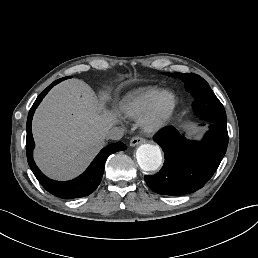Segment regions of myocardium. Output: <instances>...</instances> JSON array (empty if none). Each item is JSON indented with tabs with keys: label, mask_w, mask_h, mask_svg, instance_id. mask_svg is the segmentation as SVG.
Listing matches in <instances>:
<instances>
[{
	"label": "myocardium",
	"mask_w": 258,
	"mask_h": 258,
	"mask_svg": "<svg viewBox=\"0 0 258 258\" xmlns=\"http://www.w3.org/2000/svg\"><path fill=\"white\" fill-rule=\"evenodd\" d=\"M175 108V95L170 91H161L157 95L150 110L139 118L146 134L150 136L162 134Z\"/></svg>",
	"instance_id": "1"
}]
</instances>
